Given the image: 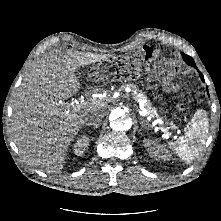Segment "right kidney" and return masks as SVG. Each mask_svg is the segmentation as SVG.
<instances>
[{
  "label": "right kidney",
  "mask_w": 221,
  "mask_h": 221,
  "mask_svg": "<svg viewBox=\"0 0 221 221\" xmlns=\"http://www.w3.org/2000/svg\"><path fill=\"white\" fill-rule=\"evenodd\" d=\"M89 146V138L85 135L78 138L76 143L73 146V151L77 156L83 155L86 148Z\"/></svg>",
  "instance_id": "ca27d5eb"
}]
</instances>
